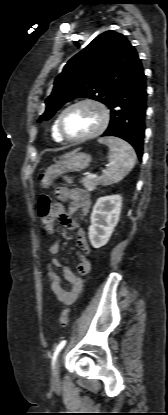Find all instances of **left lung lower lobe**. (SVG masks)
<instances>
[{"instance_id": "left-lung-lower-lobe-1", "label": "left lung lower lobe", "mask_w": 168, "mask_h": 415, "mask_svg": "<svg viewBox=\"0 0 168 415\" xmlns=\"http://www.w3.org/2000/svg\"><path fill=\"white\" fill-rule=\"evenodd\" d=\"M146 83L139 60L109 104L110 124L102 136H115L129 142L139 159L143 155L146 116Z\"/></svg>"}]
</instances>
